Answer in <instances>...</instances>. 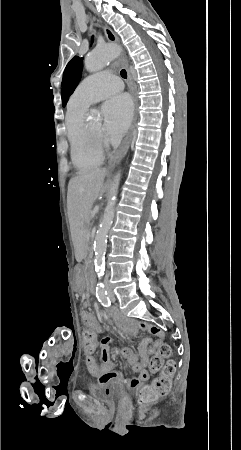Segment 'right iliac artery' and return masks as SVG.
Returning <instances> with one entry per match:
<instances>
[{
  "instance_id": "1",
  "label": "right iliac artery",
  "mask_w": 241,
  "mask_h": 450,
  "mask_svg": "<svg viewBox=\"0 0 241 450\" xmlns=\"http://www.w3.org/2000/svg\"><path fill=\"white\" fill-rule=\"evenodd\" d=\"M96 297L103 306H110L111 301L105 288H100L97 290Z\"/></svg>"
}]
</instances>
